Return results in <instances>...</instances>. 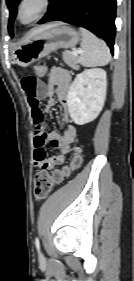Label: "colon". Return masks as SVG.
I'll list each match as a JSON object with an SVG mask.
<instances>
[{"label":"colon","mask_w":134,"mask_h":281,"mask_svg":"<svg viewBox=\"0 0 134 281\" xmlns=\"http://www.w3.org/2000/svg\"><path fill=\"white\" fill-rule=\"evenodd\" d=\"M37 78H43L47 75V68L44 65H38L35 68ZM82 163L81 150L79 147L73 149V155L68 165L54 169L51 172L40 170L34 177V197L36 200L46 198L54 186L60 184L74 170L78 169Z\"/></svg>","instance_id":"obj_1"}]
</instances>
